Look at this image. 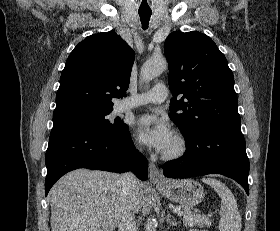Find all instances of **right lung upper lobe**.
<instances>
[{"label":"right lung upper lobe","instance_id":"obj_1","mask_svg":"<svg viewBox=\"0 0 280 231\" xmlns=\"http://www.w3.org/2000/svg\"><path fill=\"white\" fill-rule=\"evenodd\" d=\"M133 61V50L114 31L86 37L62 71L53 124L111 112V99L126 96Z\"/></svg>","mask_w":280,"mask_h":231}]
</instances>
